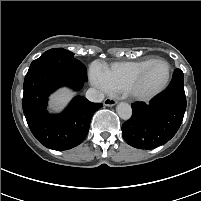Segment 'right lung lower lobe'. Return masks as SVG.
Returning <instances> with one entry per match:
<instances>
[{
	"mask_svg": "<svg viewBox=\"0 0 201 201\" xmlns=\"http://www.w3.org/2000/svg\"><path fill=\"white\" fill-rule=\"evenodd\" d=\"M85 66L75 58L61 54L42 55L34 60L25 76L23 112L35 138L53 150H67L79 145L87 136L95 111L102 107L76 96L58 115L47 111L49 95L62 86L79 90L87 81Z\"/></svg>",
	"mask_w": 201,
	"mask_h": 201,
	"instance_id": "98d812e1",
	"label": "right lung lower lobe"
}]
</instances>
